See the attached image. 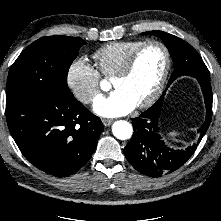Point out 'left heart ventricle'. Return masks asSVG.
Here are the masks:
<instances>
[{
	"label": "left heart ventricle",
	"instance_id": "1",
	"mask_svg": "<svg viewBox=\"0 0 221 221\" xmlns=\"http://www.w3.org/2000/svg\"><path fill=\"white\" fill-rule=\"evenodd\" d=\"M165 65V56L158 46H149L138 56L132 72L125 78L113 79L115 89L125 92L136 104L155 90Z\"/></svg>",
	"mask_w": 221,
	"mask_h": 221
}]
</instances>
